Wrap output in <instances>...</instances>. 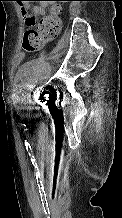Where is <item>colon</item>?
<instances>
[{
  "instance_id": "colon-1",
  "label": "colon",
  "mask_w": 122,
  "mask_h": 218,
  "mask_svg": "<svg viewBox=\"0 0 122 218\" xmlns=\"http://www.w3.org/2000/svg\"><path fill=\"white\" fill-rule=\"evenodd\" d=\"M24 1H47V0H24ZM60 8L55 5L52 7L51 12L41 18L38 22V26L35 29L34 26L37 19L34 15H26L27 30L23 37V48L28 51H36L41 49L47 42L54 40L60 31Z\"/></svg>"
}]
</instances>
